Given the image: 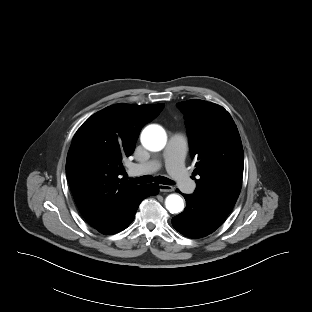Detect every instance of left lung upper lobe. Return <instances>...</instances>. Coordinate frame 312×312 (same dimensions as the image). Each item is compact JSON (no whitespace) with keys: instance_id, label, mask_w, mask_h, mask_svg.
Instances as JSON below:
<instances>
[{"instance_id":"left-lung-upper-lobe-1","label":"left lung upper lobe","mask_w":312,"mask_h":312,"mask_svg":"<svg viewBox=\"0 0 312 312\" xmlns=\"http://www.w3.org/2000/svg\"><path fill=\"white\" fill-rule=\"evenodd\" d=\"M185 114L190 150L197 159L192 196L228 215L240 194L244 153L238 129L221 106L203 100L177 103Z\"/></svg>"}]
</instances>
